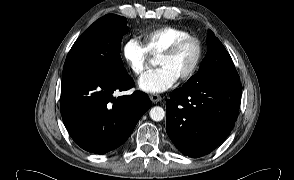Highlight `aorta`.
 I'll return each instance as SVG.
<instances>
[{"mask_svg": "<svg viewBox=\"0 0 294 180\" xmlns=\"http://www.w3.org/2000/svg\"><path fill=\"white\" fill-rule=\"evenodd\" d=\"M149 115L153 121H161L165 117V111L160 106H155L151 108Z\"/></svg>", "mask_w": 294, "mask_h": 180, "instance_id": "1", "label": "aorta"}]
</instances>
